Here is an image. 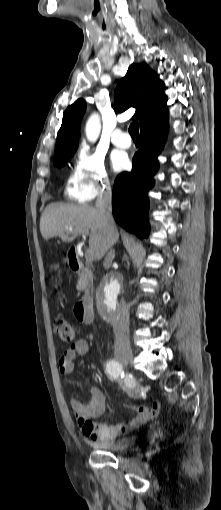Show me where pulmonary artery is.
I'll use <instances>...</instances> for the list:
<instances>
[{
    "instance_id": "pulmonary-artery-1",
    "label": "pulmonary artery",
    "mask_w": 221,
    "mask_h": 510,
    "mask_svg": "<svg viewBox=\"0 0 221 510\" xmlns=\"http://www.w3.org/2000/svg\"><path fill=\"white\" fill-rule=\"evenodd\" d=\"M112 142L114 145L120 148H129L131 145V140L128 133L121 128L114 129L112 134Z\"/></svg>"
}]
</instances>
